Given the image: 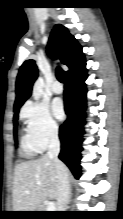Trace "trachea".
<instances>
[{"mask_svg": "<svg viewBox=\"0 0 123 219\" xmlns=\"http://www.w3.org/2000/svg\"><path fill=\"white\" fill-rule=\"evenodd\" d=\"M56 77L61 83H64L65 73L60 67H57V69H56Z\"/></svg>", "mask_w": 123, "mask_h": 219, "instance_id": "obj_1", "label": "trachea"}]
</instances>
